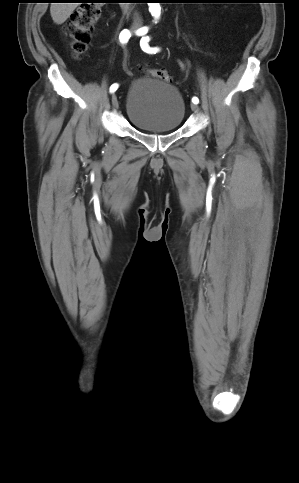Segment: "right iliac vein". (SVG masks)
Masks as SVG:
<instances>
[{
	"instance_id": "1",
	"label": "right iliac vein",
	"mask_w": 299,
	"mask_h": 483,
	"mask_svg": "<svg viewBox=\"0 0 299 483\" xmlns=\"http://www.w3.org/2000/svg\"><path fill=\"white\" fill-rule=\"evenodd\" d=\"M112 105H113L114 108L118 107V98H117L116 94L112 95Z\"/></svg>"
}]
</instances>
